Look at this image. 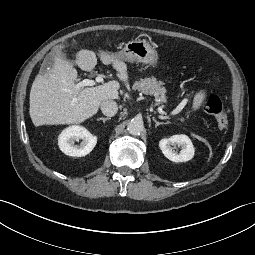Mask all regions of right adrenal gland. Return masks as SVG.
Segmentation results:
<instances>
[{"label": "right adrenal gland", "mask_w": 255, "mask_h": 255, "mask_svg": "<svg viewBox=\"0 0 255 255\" xmlns=\"http://www.w3.org/2000/svg\"><path fill=\"white\" fill-rule=\"evenodd\" d=\"M111 118H104V117H101L98 119V121H103V123H105L107 120H110Z\"/></svg>", "instance_id": "2a0ac1e0"}]
</instances>
